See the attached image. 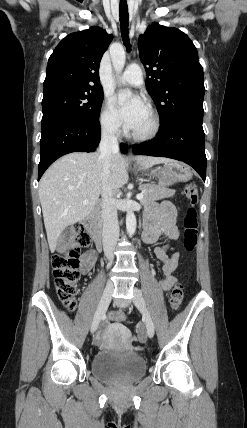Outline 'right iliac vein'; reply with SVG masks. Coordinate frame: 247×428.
I'll list each match as a JSON object with an SVG mask.
<instances>
[{
	"mask_svg": "<svg viewBox=\"0 0 247 428\" xmlns=\"http://www.w3.org/2000/svg\"><path fill=\"white\" fill-rule=\"evenodd\" d=\"M113 283L111 281H108L106 284V287L103 291L102 297L100 299V302L98 304L97 310L95 312V315L93 317V321L91 324V332L94 333L102 319V317L104 316L109 303L111 301V297H112V293H113Z\"/></svg>",
	"mask_w": 247,
	"mask_h": 428,
	"instance_id": "1",
	"label": "right iliac vein"
}]
</instances>
